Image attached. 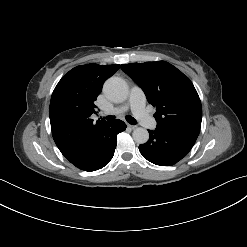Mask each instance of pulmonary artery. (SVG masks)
<instances>
[{"label": "pulmonary artery", "mask_w": 247, "mask_h": 247, "mask_svg": "<svg viewBox=\"0 0 247 247\" xmlns=\"http://www.w3.org/2000/svg\"><path fill=\"white\" fill-rule=\"evenodd\" d=\"M131 110L134 117L147 129H155L156 120L145 110V95L138 87H133L130 91L129 99L126 103L115 107L112 114H122Z\"/></svg>", "instance_id": "e3ab8cb5"}]
</instances>
